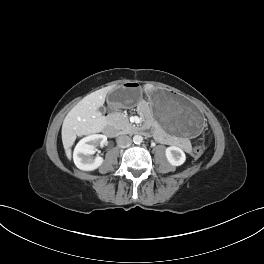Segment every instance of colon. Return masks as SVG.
Listing matches in <instances>:
<instances>
[{
  "label": "colon",
  "instance_id": "obj_1",
  "mask_svg": "<svg viewBox=\"0 0 264 264\" xmlns=\"http://www.w3.org/2000/svg\"><path fill=\"white\" fill-rule=\"evenodd\" d=\"M203 151H204V146H203V144L200 143L194 147V149L192 151V155L194 157H200L202 155Z\"/></svg>",
  "mask_w": 264,
  "mask_h": 264
}]
</instances>
